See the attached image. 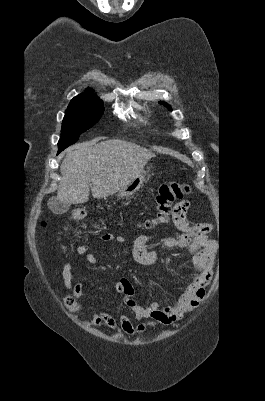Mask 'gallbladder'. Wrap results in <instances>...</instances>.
Instances as JSON below:
<instances>
[{"label": "gallbladder", "mask_w": 265, "mask_h": 401, "mask_svg": "<svg viewBox=\"0 0 265 401\" xmlns=\"http://www.w3.org/2000/svg\"><path fill=\"white\" fill-rule=\"evenodd\" d=\"M48 209L55 213V215H63V213H67L70 209V203H62V201H58L57 196H51L47 203Z\"/></svg>", "instance_id": "obj_1"}]
</instances>
